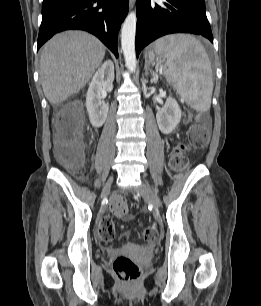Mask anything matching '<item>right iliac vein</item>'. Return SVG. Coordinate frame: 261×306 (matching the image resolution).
<instances>
[{"label": "right iliac vein", "instance_id": "obj_1", "mask_svg": "<svg viewBox=\"0 0 261 306\" xmlns=\"http://www.w3.org/2000/svg\"><path fill=\"white\" fill-rule=\"evenodd\" d=\"M111 184H112V180H109L102 191V197H105L109 193Z\"/></svg>", "mask_w": 261, "mask_h": 306}]
</instances>
